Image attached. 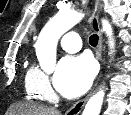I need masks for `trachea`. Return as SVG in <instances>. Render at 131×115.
I'll return each mask as SVG.
<instances>
[{"mask_svg":"<svg viewBox=\"0 0 131 115\" xmlns=\"http://www.w3.org/2000/svg\"><path fill=\"white\" fill-rule=\"evenodd\" d=\"M98 40H99L98 35L93 34V35H91L90 38H89V43H90L93 47H95V46H97V44H98Z\"/></svg>","mask_w":131,"mask_h":115,"instance_id":"1","label":"trachea"}]
</instances>
